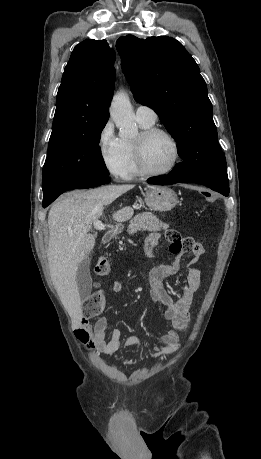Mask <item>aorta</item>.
I'll use <instances>...</instances> for the list:
<instances>
[{
    "mask_svg": "<svg viewBox=\"0 0 261 459\" xmlns=\"http://www.w3.org/2000/svg\"><path fill=\"white\" fill-rule=\"evenodd\" d=\"M110 116L122 137L134 138L138 135L135 115L126 92L120 91L114 95L110 106Z\"/></svg>",
    "mask_w": 261,
    "mask_h": 459,
    "instance_id": "obj_1",
    "label": "aorta"
}]
</instances>
